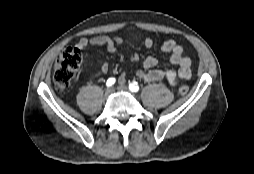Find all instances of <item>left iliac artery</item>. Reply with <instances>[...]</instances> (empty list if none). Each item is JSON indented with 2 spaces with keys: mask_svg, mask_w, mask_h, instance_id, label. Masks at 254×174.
<instances>
[{
  "mask_svg": "<svg viewBox=\"0 0 254 174\" xmlns=\"http://www.w3.org/2000/svg\"><path fill=\"white\" fill-rule=\"evenodd\" d=\"M129 89L132 92H138V90H139L138 83L137 82H133V83L129 84Z\"/></svg>",
  "mask_w": 254,
  "mask_h": 174,
  "instance_id": "1",
  "label": "left iliac artery"
}]
</instances>
